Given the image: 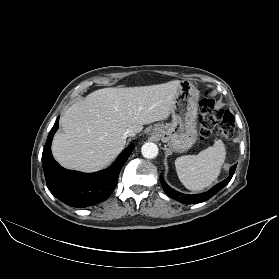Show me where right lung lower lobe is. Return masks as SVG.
I'll list each match as a JSON object with an SVG mask.
<instances>
[{
  "label": "right lung lower lobe",
  "instance_id": "98d812e1",
  "mask_svg": "<svg viewBox=\"0 0 279 279\" xmlns=\"http://www.w3.org/2000/svg\"><path fill=\"white\" fill-rule=\"evenodd\" d=\"M59 117L52 127L42 154V165L47 187L53 196L65 204L83 208L106 200L117 185L123 165L134 146L126 148L108 169L95 173H81L61 167L51 154V141L58 129Z\"/></svg>",
  "mask_w": 279,
  "mask_h": 279
}]
</instances>
